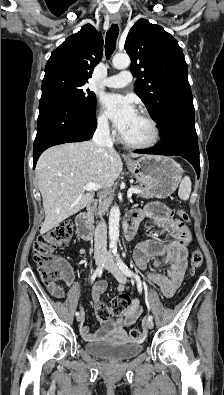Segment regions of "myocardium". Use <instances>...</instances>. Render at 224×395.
Listing matches in <instances>:
<instances>
[{"mask_svg": "<svg viewBox=\"0 0 224 395\" xmlns=\"http://www.w3.org/2000/svg\"><path fill=\"white\" fill-rule=\"evenodd\" d=\"M137 113L149 123V125L151 127V131H152L151 138L146 142H132V141L127 140L120 133L119 140L121 141L122 144H124L125 146L132 148V149L143 150V149L152 148L157 144V142L159 141V138H160V130H159L158 124H157L156 120L147 111L139 110Z\"/></svg>", "mask_w": 224, "mask_h": 395, "instance_id": "obj_1", "label": "myocardium"}]
</instances>
